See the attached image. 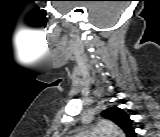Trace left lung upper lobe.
<instances>
[{
    "instance_id": "obj_1",
    "label": "left lung upper lobe",
    "mask_w": 160,
    "mask_h": 137,
    "mask_svg": "<svg viewBox=\"0 0 160 137\" xmlns=\"http://www.w3.org/2000/svg\"><path fill=\"white\" fill-rule=\"evenodd\" d=\"M102 116L115 122L127 135L133 130L129 116L120 108L111 107Z\"/></svg>"
}]
</instances>
